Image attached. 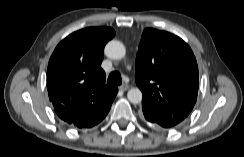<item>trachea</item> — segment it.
I'll return each instance as SVG.
<instances>
[{
  "mask_svg": "<svg viewBox=\"0 0 244 157\" xmlns=\"http://www.w3.org/2000/svg\"><path fill=\"white\" fill-rule=\"evenodd\" d=\"M107 83L109 85H114V86H118L122 84V78L121 75L118 71H114L112 73H110Z\"/></svg>",
  "mask_w": 244,
  "mask_h": 157,
  "instance_id": "trachea-1",
  "label": "trachea"
}]
</instances>
